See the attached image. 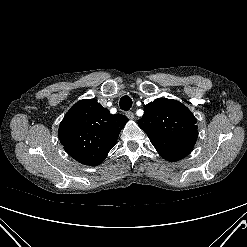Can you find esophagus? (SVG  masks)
Returning a JSON list of instances; mask_svg holds the SVG:
<instances>
[{"label":"esophagus","instance_id":"34e87169","mask_svg":"<svg viewBox=\"0 0 247 247\" xmlns=\"http://www.w3.org/2000/svg\"><path fill=\"white\" fill-rule=\"evenodd\" d=\"M126 116L129 118V119H134L135 118V115L132 111H128L126 112Z\"/></svg>","mask_w":247,"mask_h":247}]
</instances>
